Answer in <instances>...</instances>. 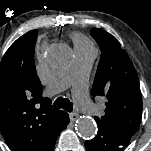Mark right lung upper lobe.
Here are the masks:
<instances>
[{
  "label": "right lung upper lobe",
  "mask_w": 151,
  "mask_h": 151,
  "mask_svg": "<svg viewBox=\"0 0 151 151\" xmlns=\"http://www.w3.org/2000/svg\"><path fill=\"white\" fill-rule=\"evenodd\" d=\"M38 31L18 38L0 63V131L12 151H53L64 111L42 98L34 65Z\"/></svg>",
  "instance_id": "obj_1"
}]
</instances>
